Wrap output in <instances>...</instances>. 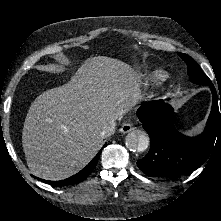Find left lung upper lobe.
<instances>
[{"label": "left lung upper lobe", "instance_id": "5c2ea615", "mask_svg": "<svg viewBox=\"0 0 221 221\" xmlns=\"http://www.w3.org/2000/svg\"><path fill=\"white\" fill-rule=\"evenodd\" d=\"M178 55L186 62L188 75L191 82L199 85H210L212 84L210 79L203 73L199 65L188 55L178 53Z\"/></svg>", "mask_w": 221, "mask_h": 221}]
</instances>
